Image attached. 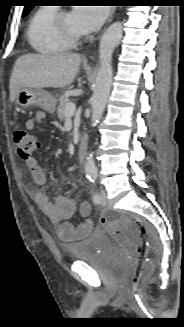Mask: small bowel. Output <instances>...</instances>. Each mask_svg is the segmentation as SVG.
I'll return each instance as SVG.
<instances>
[{
  "label": "small bowel",
  "instance_id": "1",
  "mask_svg": "<svg viewBox=\"0 0 184 327\" xmlns=\"http://www.w3.org/2000/svg\"><path fill=\"white\" fill-rule=\"evenodd\" d=\"M44 118L45 113L39 111L26 121V127L28 129H34ZM26 166L37 185L46 184V173L36 158L32 157L26 160ZM32 197L43 213L57 225V234L60 239L64 241L81 239L90 232L92 228V222L89 220L91 206L88 201L84 200L79 205V214L86 218V220L77 225H73L68 220L76 211V203L67 194L59 195L54 202L50 201L49 196L44 191H33Z\"/></svg>",
  "mask_w": 184,
  "mask_h": 327
}]
</instances>
